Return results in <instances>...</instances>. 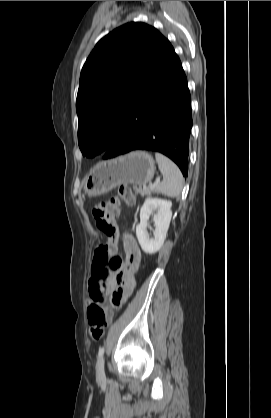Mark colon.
Here are the masks:
<instances>
[{"mask_svg": "<svg viewBox=\"0 0 271 418\" xmlns=\"http://www.w3.org/2000/svg\"><path fill=\"white\" fill-rule=\"evenodd\" d=\"M133 203L134 196L131 190L121 186L115 196L101 201L94 207L93 217L97 228L109 238V243L116 237L114 218L118 215L121 205H132ZM108 253V243L100 246L95 251L92 265V277L96 286L93 291L92 303L88 309V322L90 334L95 340L102 337L112 319L111 313L106 309V297L101 283L121 267V259L119 257H109ZM116 302L118 303V299Z\"/></svg>", "mask_w": 271, "mask_h": 418, "instance_id": "1", "label": "colon"}]
</instances>
